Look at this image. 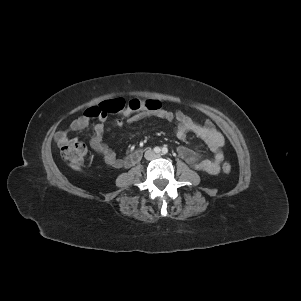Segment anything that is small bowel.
<instances>
[{
    "label": "small bowel",
    "mask_w": 301,
    "mask_h": 301,
    "mask_svg": "<svg viewBox=\"0 0 301 301\" xmlns=\"http://www.w3.org/2000/svg\"><path fill=\"white\" fill-rule=\"evenodd\" d=\"M131 110H124L122 116L131 122L136 119L154 115L176 125V136L185 140L189 135H195L212 152V158H203L198 152L186 147H179L178 154L194 169L208 174H216L224 159L223 148L225 139L223 135L207 120L204 124H199L182 111L172 112L161 107L158 111L142 110L137 115H132ZM91 117L85 112L70 123V130L58 131L55 134V141L63 146L77 141L76 137L70 136V131H79L86 128ZM114 125H119L115 123ZM109 130L106 125V116H100L94 124V133L90 139L91 147L99 153L108 167L118 169L126 166V158H118L115 152L104 142V135Z\"/></svg>",
    "instance_id": "small-bowel-1"
}]
</instances>
